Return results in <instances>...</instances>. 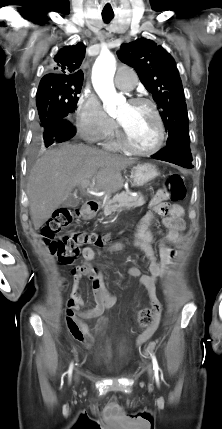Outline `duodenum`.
I'll use <instances>...</instances> for the list:
<instances>
[{
	"mask_svg": "<svg viewBox=\"0 0 222 429\" xmlns=\"http://www.w3.org/2000/svg\"><path fill=\"white\" fill-rule=\"evenodd\" d=\"M99 208V202H97L96 200H88L83 206L82 213L85 217H90L95 212H97Z\"/></svg>",
	"mask_w": 222,
	"mask_h": 429,
	"instance_id": "duodenum-1",
	"label": "duodenum"
}]
</instances>
